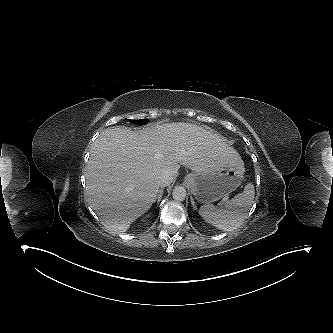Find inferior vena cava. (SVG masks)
<instances>
[{"label": "inferior vena cava", "instance_id": "inferior-vena-cava-1", "mask_svg": "<svg viewBox=\"0 0 333 333\" xmlns=\"http://www.w3.org/2000/svg\"><path fill=\"white\" fill-rule=\"evenodd\" d=\"M173 177L168 172H163L157 179V183L160 187H166L171 184Z\"/></svg>", "mask_w": 333, "mask_h": 333}]
</instances>
